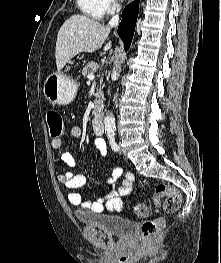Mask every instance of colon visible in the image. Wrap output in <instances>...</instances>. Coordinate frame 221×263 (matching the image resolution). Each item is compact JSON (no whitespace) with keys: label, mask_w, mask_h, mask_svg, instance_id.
<instances>
[{"label":"colon","mask_w":221,"mask_h":263,"mask_svg":"<svg viewBox=\"0 0 221 263\" xmlns=\"http://www.w3.org/2000/svg\"><path fill=\"white\" fill-rule=\"evenodd\" d=\"M49 126V135L52 138H58L63 134L64 124L61 113L51 109L46 114ZM163 202V209L166 213H175L181 204V194L173 186L159 183L155 187L154 195L150 205L146 203H137L134 206V212L139 217H147L150 209L158 208ZM163 226L162 218L150 219L143 222L141 226V237L145 242L151 241L161 230Z\"/></svg>","instance_id":"5ec220e1"}]
</instances>
